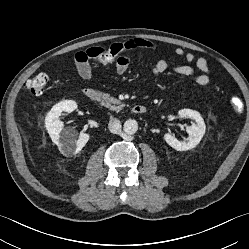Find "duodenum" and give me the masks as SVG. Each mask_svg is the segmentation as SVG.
Instances as JSON below:
<instances>
[{
    "instance_id": "duodenum-1",
    "label": "duodenum",
    "mask_w": 249,
    "mask_h": 249,
    "mask_svg": "<svg viewBox=\"0 0 249 249\" xmlns=\"http://www.w3.org/2000/svg\"><path fill=\"white\" fill-rule=\"evenodd\" d=\"M83 94L90 101L97 102L101 99L100 92L94 88H85L83 90ZM146 111H147V106L145 104H136L132 108V112L136 115H142Z\"/></svg>"
}]
</instances>
